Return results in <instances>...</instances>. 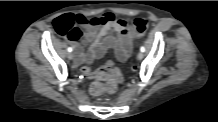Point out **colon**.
Masks as SVG:
<instances>
[{"label":"colon","mask_w":218,"mask_h":122,"mask_svg":"<svg viewBox=\"0 0 218 122\" xmlns=\"http://www.w3.org/2000/svg\"><path fill=\"white\" fill-rule=\"evenodd\" d=\"M76 17L71 15H64L57 18L54 22L56 31L66 36L69 40H78L82 32L78 26H76ZM148 20L144 18H138L134 21L133 31L135 36L143 35L148 28ZM115 60H106L104 65L92 72L89 64H82L78 66V73L88 75L92 78L93 82L90 86L92 94H99L103 90L108 93L115 92L118 83L123 80L120 70L116 67ZM103 83L105 85H103Z\"/></svg>","instance_id":"1"}]
</instances>
